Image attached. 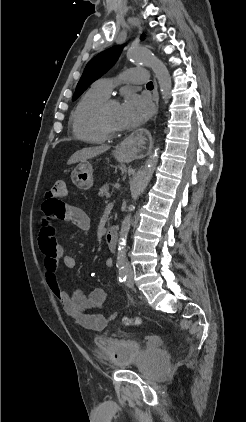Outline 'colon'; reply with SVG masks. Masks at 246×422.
Listing matches in <instances>:
<instances>
[{
  "label": "colon",
  "instance_id": "obj_1",
  "mask_svg": "<svg viewBox=\"0 0 246 422\" xmlns=\"http://www.w3.org/2000/svg\"><path fill=\"white\" fill-rule=\"evenodd\" d=\"M67 195L66 184L62 180L55 181L46 192V203L51 210L59 208L63 204V199ZM140 319H125L126 325H139Z\"/></svg>",
  "mask_w": 246,
  "mask_h": 422
}]
</instances>
